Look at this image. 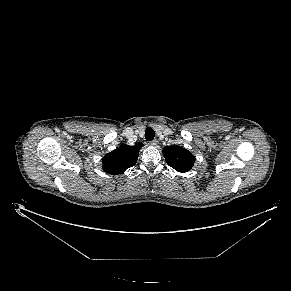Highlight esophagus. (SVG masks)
Here are the masks:
<instances>
[{
  "label": "esophagus",
  "mask_w": 291,
  "mask_h": 291,
  "mask_svg": "<svg viewBox=\"0 0 291 291\" xmlns=\"http://www.w3.org/2000/svg\"><path fill=\"white\" fill-rule=\"evenodd\" d=\"M149 145H151V146H157L158 145V140H152V141H150L149 142Z\"/></svg>",
  "instance_id": "esophagus-1"
}]
</instances>
